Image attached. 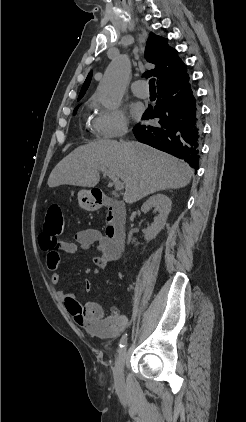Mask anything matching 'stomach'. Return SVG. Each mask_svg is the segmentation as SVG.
I'll return each mask as SVG.
<instances>
[{"mask_svg":"<svg viewBox=\"0 0 246 422\" xmlns=\"http://www.w3.org/2000/svg\"><path fill=\"white\" fill-rule=\"evenodd\" d=\"M78 202L81 208L87 211H93L97 208L96 199L91 190H80L78 193Z\"/></svg>","mask_w":246,"mask_h":422,"instance_id":"0dacf381","label":"stomach"}]
</instances>
